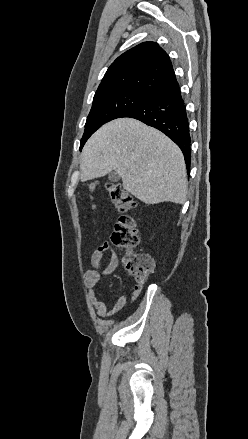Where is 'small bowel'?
<instances>
[{"label":"small bowel","instance_id":"c3829d8e","mask_svg":"<svg viewBox=\"0 0 248 439\" xmlns=\"http://www.w3.org/2000/svg\"><path fill=\"white\" fill-rule=\"evenodd\" d=\"M105 253L109 254V262L106 266H103L102 259ZM91 268L84 272V282L87 289L88 300L90 304L95 308L96 313L101 318L112 317L117 314L125 306L128 296L126 294L121 295L113 304L108 305L105 302L98 299L95 293V286L102 276H107L114 272L118 267L119 258L117 253L112 249L109 243H103L98 246L90 256ZM142 286L134 287L131 294V302H134L140 292Z\"/></svg>","mask_w":248,"mask_h":439}]
</instances>
